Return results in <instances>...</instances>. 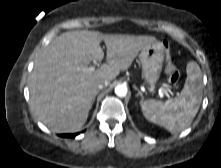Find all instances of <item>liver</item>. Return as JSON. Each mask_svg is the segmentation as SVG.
Segmentation results:
<instances>
[{
	"label": "liver",
	"mask_w": 221,
	"mask_h": 168,
	"mask_svg": "<svg viewBox=\"0 0 221 168\" xmlns=\"http://www.w3.org/2000/svg\"><path fill=\"white\" fill-rule=\"evenodd\" d=\"M107 64L83 71L91 61ZM153 36L104 35L97 31H70L43 50L29 78L31 107L37 118L56 133L77 132L87 121L97 86L127 70L139 51L156 42Z\"/></svg>",
	"instance_id": "6515ba94"
}]
</instances>
